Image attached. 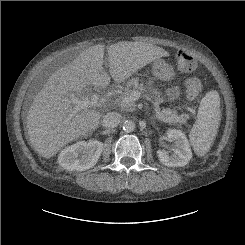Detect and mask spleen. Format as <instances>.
Masks as SVG:
<instances>
[{"mask_svg": "<svg viewBox=\"0 0 245 245\" xmlns=\"http://www.w3.org/2000/svg\"><path fill=\"white\" fill-rule=\"evenodd\" d=\"M220 113L219 94L216 90H211L200 102L197 119L189 135L198 156H204L211 148L219 128Z\"/></svg>", "mask_w": 245, "mask_h": 245, "instance_id": "3e777b00", "label": "spleen"}]
</instances>
